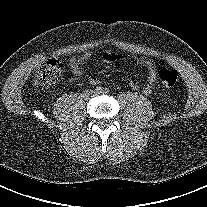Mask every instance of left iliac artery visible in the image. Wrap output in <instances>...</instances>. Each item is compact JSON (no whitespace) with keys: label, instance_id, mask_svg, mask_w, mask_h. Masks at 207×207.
<instances>
[{"label":"left iliac artery","instance_id":"1","mask_svg":"<svg viewBox=\"0 0 207 207\" xmlns=\"http://www.w3.org/2000/svg\"><path fill=\"white\" fill-rule=\"evenodd\" d=\"M103 93H104V94L109 93V89H108V88H104V89H103Z\"/></svg>","mask_w":207,"mask_h":207}]
</instances>
